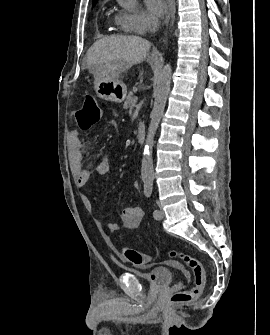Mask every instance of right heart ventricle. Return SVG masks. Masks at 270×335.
<instances>
[{"label": "right heart ventricle", "mask_w": 270, "mask_h": 335, "mask_svg": "<svg viewBox=\"0 0 270 335\" xmlns=\"http://www.w3.org/2000/svg\"><path fill=\"white\" fill-rule=\"evenodd\" d=\"M112 23H113L116 27H118V28H120V29H125V30H127L126 27H125V25L123 24V22H122V20H121L119 14H115V15L113 16ZM158 78H169V77H158Z\"/></svg>", "instance_id": "right-heart-ventricle-1"}]
</instances>
